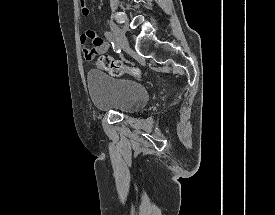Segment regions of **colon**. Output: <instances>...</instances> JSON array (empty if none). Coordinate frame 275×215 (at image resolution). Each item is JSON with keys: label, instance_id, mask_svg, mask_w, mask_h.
<instances>
[{"label": "colon", "instance_id": "colon-1", "mask_svg": "<svg viewBox=\"0 0 275 215\" xmlns=\"http://www.w3.org/2000/svg\"><path fill=\"white\" fill-rule=\"evenodd\" d=\"M87 0H80L81 6L86 8ZM96 66L102 70H105L112 76H120L123 73H127L133 77H140L142 71L140 68L124 64L123 62L113 59L108 55H101L96 60Z\"/></svg>", "mask_w": 275, "mask_h": 215}]
</instances>
